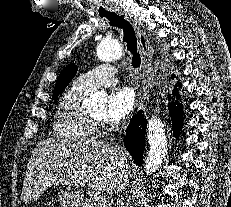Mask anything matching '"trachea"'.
Listing matches in <instances>:
<instances>
[{
    "instance_id": "1",
    "label": "trachea",
    "mask_w": 231,
    "mask_h": 207,
    "mask_svg": "<svg viewBox=\"0 0 231 207\" xmlns=\"http://www.w3.org/2000/svg\"><path fill=\"white\" fill-rule=\"evenodd\" d=\"M101 17H106L112 26H116L123 30V40L127 44V50L132 55V66L136 69L139 68L141 65V56L137 48V38L133 26L116 13L101 15Z\"/></svg>"
}]
</instances>
